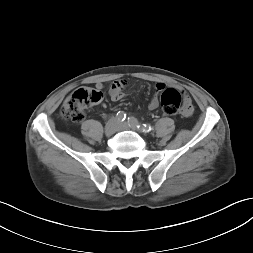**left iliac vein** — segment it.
I'll return each mask as SVG.
<instances>
[{
  "label": "left iliac vein",
  "mask_w": 253,
  "mask_h": 253,
  "mask_svg": "<svg viewBox=\"0 0 253 253\" xmlns=\"http://www.w3.org/2000/svg\"><path fill=\"white\" fill-rule=\"evenodd\" d=\"M129 129H132L134 131H138V129L136 127H131L126 123V122H123V123H120L119 124V130H129Z\"/></svg>",
  "instance_id": "left-iliac-vein-1"
}]
</instances>
